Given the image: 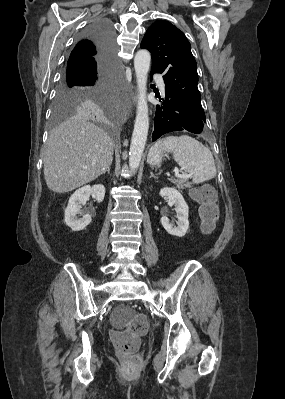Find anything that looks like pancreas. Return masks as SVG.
I'll use <instances>...</instances> for the list:
<instances>
[{
	"mask_svg": "<svg viewBox=\"0 0 285 399\" xmlns=\"http://www.w3.org/2000/svg\"><path fill=\"white\" fill-rule=\"evenodd\" d=\"M179 189L190 188L191 183L187 181L185 178H180L172 181Z\"/></svg>",
	"mask_w": 285,
	"mask_h": 399,
	"instance_id": "1",
	"label": "pancreas"
}]
</instances>
